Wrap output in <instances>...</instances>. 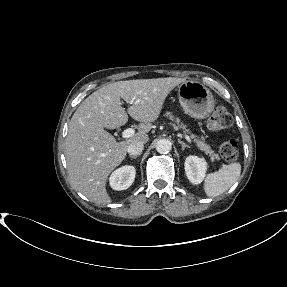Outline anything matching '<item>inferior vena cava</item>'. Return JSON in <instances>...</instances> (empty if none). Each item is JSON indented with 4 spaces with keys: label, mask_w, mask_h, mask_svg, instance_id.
I'll use <instances>...</instances> for the list:
<instances>
[{
    "label": "inferior vena cava",
    "mask_w": 287,
    "mask_h": 287,
    "mask_svg": "<svg viewBox=\"0 0 287 287\" xmlns=\"http://www.w3.org/2000/svg\"><path fill=\"white\" fill-rule=\"evenodd\" d=\"M143 149L144 143L142 141H134L128 146L127 152L129 153V155L136 156L141 154Z\"/></svg>",
    "instance_id": "602c4592"
}]
</instances>
